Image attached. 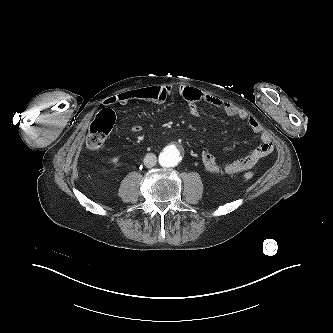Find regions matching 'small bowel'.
Instances as JSON below:
<instances>
[{"label":"small bowel","instance_id":"small-bowel-1","mask_svg":"<svg viewBox=\"0 0 333 333\" xmlns=\"http://www.w3.org/2000/svg\"><path fill=\"white\" fill-rule=\"evenodd\" d=\"M173 92V87L170 85L143 87L109 97L105 100V105L127 104L134 100L163 103ZM179 95L188 103L191 114L197 115V104L205 102L222 110L230 117L247 122L251 130L260 137L261 143L250 154L225 165H219L214 155L208 149H203L201 159L205 169L209 173L217 176L238 174L251 169L260 159L273 152L274 144L270 135L265 131L260 122L247 111L192 86H180ZM141 130L142 127L139 124H132L130 126V131L133 133H139Z\"/></svg>","mask_w":333,"mask_h":333}]
</instances>
